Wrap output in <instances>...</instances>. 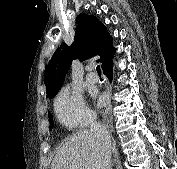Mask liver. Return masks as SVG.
I'll use <instances>...</instances> for the list:
<instances>
[{
    "instance_id": "liver-1",
    "label": "liver",
    "mask_w": 177,
    "mask_h": 169,
    "mask_svg": "<svg viewBox=\"0 0 177 169\" xmlns=\"http://www.w3.org/2000/svg\"><path fill=\"white\" fill-rule=\"evenodd\" d=\"M101 146L91 131L70 136L57 151L51 169H101Z\"/></svg>"
}]
</instances>
